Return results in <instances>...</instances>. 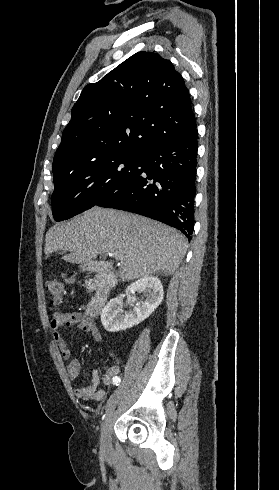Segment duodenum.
Segmentation results:
<instances>
[{"instance_id": "duodenum-1", "label": "duodenum", "mask_w": 279, "mask_h": 490, "mask_svg": "<svg viewBox=\"0 0 279 490\" xmlns=\"http://www.w3.org/2000/svg\"><path fill=\"white\" fill-rule=\"evenodd\" d=\"M89 271L97 273L99 289L86 306L85 314L94 318L100 314L108 301L112 290L117 284V278L109 263L104 261H91L86 265Z\"/></svg>"}]
</instances>
